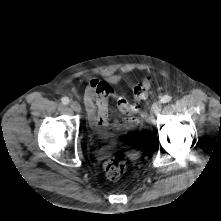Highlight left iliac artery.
<instances>
[{"mask_svg": "<svg viewBox=\"0 0 221 221\" xmlns=\"http://www.w3.org/2000/svg\"><path fill=\"white\" fill-rule=\"evenodd\" d=\"M172 97L169 96V95H164L162 98H161V102L162 103H168L169 101H171Z\"/></svg>", "mask_w": 221, "mask_h": 221, "instance_id": "44dca946", "label": "left iliac artery"}]
</instances>
